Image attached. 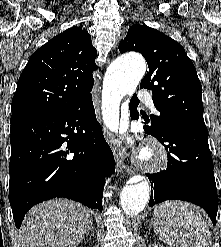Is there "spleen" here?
Here are the masks:
<instances>
[{
	"mask_svg": "<svg viewBox=\"0 0 221 247\" xmlns=\"http://www.w3.org/2000/svg\"><path fill=\"white\" fill-rule=\"evenodd\" d=\"M153 228L161 240L174 247H211L207 223L186 202H165L154 210Z\"/></svg>",
	"mask_w": 221,
	"mask_h": 247,
	"instance_id": "spleen-1",
	"label": "spleen"
}]
</instances>
